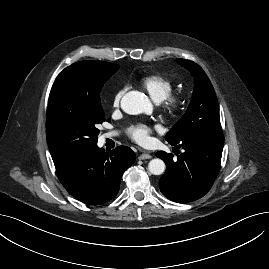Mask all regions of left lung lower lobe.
Here are the masks:
<instances>
[{"label": "left lung lower lobe", "instance_id": "left-lung-lower-lobe-1", "mask_svg": "<svg viewBox=\"0 0 269 269\" xmlns=\"http://www.w3.org/2000/svg\"><path fill=\"white\" fill-rule=\"evenodd\" d=\"M184 152L173 160V155L158 151L157 157L166 163L160 178L162 194L178 203L203 197L212 187L220 170L224 145L222 131H199L174 144Z\"/></svg>", "mask_w": 269, "mask_h": 269}]
</instances>
